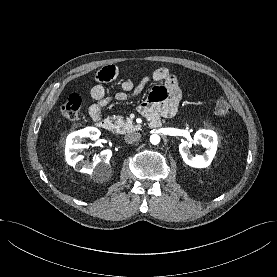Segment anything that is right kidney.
<instances>
[{
    "label": "right kidney",
    "instance_id": "obj_1",
    "mask_svg": "<svg viewBox=\"0 0 277 277\" xmlns=\"http://www.w3.org/2000/svg\"><path fill=\"white\" fill-rule=\"evenodd\" d=\"M100 134V131L95 127H87L69 134L66 139L65 148L67 163L76 168V170L89 174L99 163H109L112 156V151L109 149L101 151L99 156L93 158L92 163L83 161V157L78 155L79 151L87 147L86 144H82L85 139L96 140L99 138Z\"/></svg>",
    "mask_w": 277,
    "mask_h": 277
}]
</instances>
